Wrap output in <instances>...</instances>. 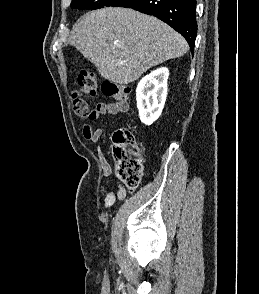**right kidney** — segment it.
<instances>
[{"label": "right kidney", "instance_id": "1", "mask_svg": "<svg viewBox=\"0 0 259 294\" xmlns=\"http://www.w3.org/2000/svg\"><path fill=\"white\" fill-rule=\"evenodd\" d=\"M169 70L158 68L143 77L136 89L137 108L140 120L151 125L162 113L167 97Z\"/></svg>", "mask_w": 259, "mask_h": 294}]
</instances>
